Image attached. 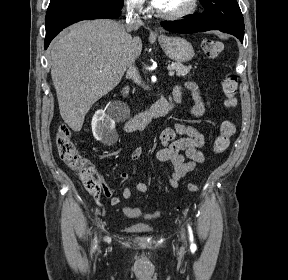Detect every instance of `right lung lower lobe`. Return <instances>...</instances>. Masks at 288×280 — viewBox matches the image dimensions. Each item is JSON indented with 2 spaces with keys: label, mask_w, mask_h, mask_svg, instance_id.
<instances>
[{
  "label": "right lung lower lobe",
  "mask_w": 288,
  "mask_h": 280,
  "mask_svg": "<svg viewBox=\"0 0 288 280\" xmlns=\"http://www.w3.org/2000/svg\"><path fill=\"white\" fill-rule=\"evenodd\" d=\"M121 9L101 0H63L49 5L45 17V49L65 27L85 19H115L120 15Z\"/></svg>",
  "instance_id": "obj_1"
}]
</instances>
